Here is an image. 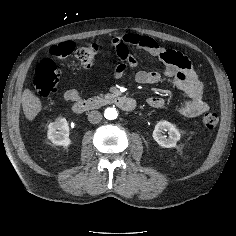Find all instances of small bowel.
<instances>
[{
	"mask_svg": "<svg viewBox=\"0 0 236 236\" xmlns=\"http://www.w3.org/2000/svg\"><path fill=\"white\" fill-rule=\"evenodd\" d=\"M113 45L120 59L114 72L116 79L123 76L127 66L137 65V59L131 53V47L141 48L156 56L164 64L165 70L163 73L139 70L134 75L137 83L156 84L167 80L172 86L184 91L188 99L177 107L178 113L184 117L194 118L209 110V105L204 99V87L186 56L175 50L165 49L151 37L136 33H127L114 38ZM79 98V93L75 89H69L63 93V99L67 102L74 103ZM147 103L153 108H161L165 105V100L152 96L147 99Z\"/></svg>",
	"mask_w": 236,
	"mask_h": 236,
	"instance_id": "obj_1",
	"label": "small bowel"
}]
</instances>
